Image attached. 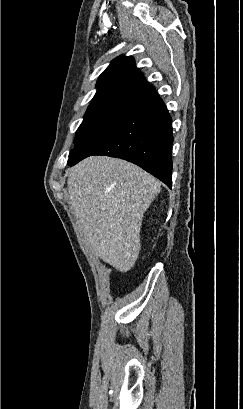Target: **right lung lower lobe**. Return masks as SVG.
<instances>
[{
    "instance_id": "1",
    "label": "right lung lower lobe",
    "mask_w": 243,
    "mask_h": 409,
    "mask_svg": "<svg viewBox=\"0 0 243 409\" xmlns=\"http://www.w3.org/2000/svg\"><path fill=\"white\" fill-rule=\"evenodd\" d=\"M172 119L151 85L124 100L117 110L70 154L73 166L92 155L132 162L172 186Z\"/></svg>"
}]
</instances>
